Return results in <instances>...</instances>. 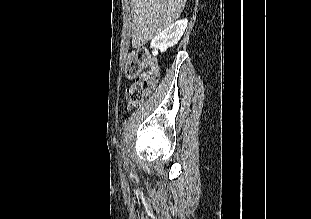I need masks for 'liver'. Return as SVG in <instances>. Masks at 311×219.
<instances>
[{
	"label": "liver",
	"instance_id": "liver-1",
	"mask_svg": "<svg viewBox=\"0 0 311 219\" xmlns=\"http://www.w3.org/2000/svg\"><path fill=\"white\" fill-rule=\"evenodd\" d=\"M187 0H131L133 10L132 47L146 44L172 25Z\"/></svg>",
	"mask_w": 311,
	"mask_h": 219
}]
</instances>
